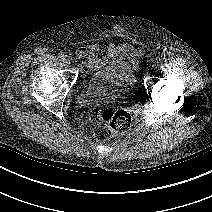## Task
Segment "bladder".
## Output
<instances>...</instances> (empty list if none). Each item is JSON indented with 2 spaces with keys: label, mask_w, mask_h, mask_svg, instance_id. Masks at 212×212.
Segmentation results:
<instances>
[{
  "label": "bladder",
  "mask_w": 212,
  "mask_h": 212,
  "mask_svg": "<svg viewBox=\"0 0 212 212\" xmlns=\"http://www.w3.org/2000/svg\"><path fill=\"white\" fill-rule=\"evenodd\" d=\"M136 98L135 75L123 62L92 71L77 94V102L82 107L128 104Z\"/></svg>",
  "instance_id": "1"
}]
</instances>
